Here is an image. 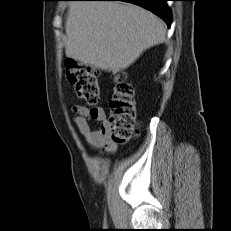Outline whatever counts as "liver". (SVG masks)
I'll return each mask as SVG.
<instances>
[{"label":"liver","instance_id":"6515ba94","mask_svg":"<svg viewBox=\"0 0 231 231\" xmlns=\"http://www.w3.org/2000/svg\"><path fill=\"white\" fill-rule=\"evenodd\" d=\"M65 32L67 57L109 72L127 69L166 38L163 21L153 13L106 1L71 2Z\"/></svg>","mask_w":231,"mask_h":231}]
</instances>
